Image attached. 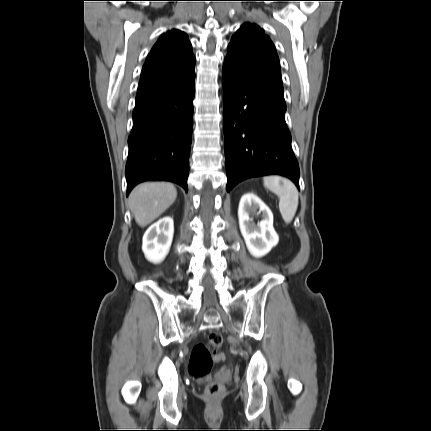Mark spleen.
Listing matches in <instances>:
<instances>
[{
  "mask_svg": "<svg viewBox=\"0 0 431 431\" xmlns=\"http://www.w3.org/2000/svg\"><path fill=\"white\" fill-rule=\"evenodd\" d=\"M264 186L279 197V210L283 220L290 223L298 207V191L288 179L280 176L264 177Z\"/></svg>",
  "mask_w": 431,
  "mask_h": 431,
  "instance_id": "spleen-1",
  "label": "spleen"
}]
</instances>
